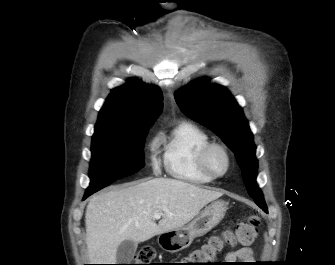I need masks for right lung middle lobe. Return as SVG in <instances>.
<instances>
[{
    "label": "right lung middle lobe",
    "mask_w": 335,
    "mask_h": 265,
    "mask_svg": "<svg viewBox=\"0 0 335 265\" xmlns=\"http://www.w3.org/2000/svg\"><path fill=\"white\" fill-rule=\"evenodd\" d=\"M149 124L117 132L95 133L92 137L90 186L85 194L108 186L144 167V137Z\"/></svg>",
    "instance_id": "dd1d6c3e"
}]
</instances>
